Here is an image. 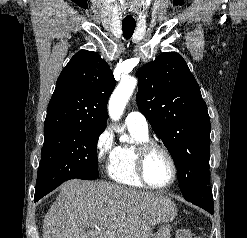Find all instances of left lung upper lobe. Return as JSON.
<instances>
[{"label":"left lung upper lobe","mask_w":247,"mask_h":238,"mask_svg":"<svg viewBox=\"0 0 247 238\" xmlns=\"http://www.w3.org/2000/svg\"><path fill=\"white\" fill-rule=\"evenodd\" d=\"M137 75L138 107L170 152L184 198L213 213L210 118L199 85L176 52L160 54Z\"/></svg>","instance_id":"obj_1"}]
</instances>
